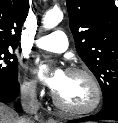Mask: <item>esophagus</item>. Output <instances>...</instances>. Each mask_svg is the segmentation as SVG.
I'll list each match as a JSON object with an SVG mask.
<instances>
[{
	"mask_svg": "<svg viewBox=\"0 0 118 123\" xmlns=\"http://www.w3.org/2000/svg\"><path fill=\"white\" fill-rule=\"evenodd\" d=\"M47 122H48V123H56V121H55L54 119H52V118H49V119L47 120Z\"/></svg>",
	"mask_w": 118,
	"mask_h": 123,
	"instance_id": "esophagus-1",
	"label": "esophagus"
}]
</instances>
